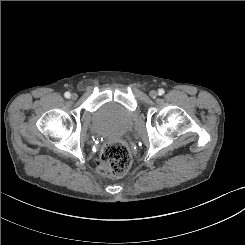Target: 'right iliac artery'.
Wrapping results in <instances>:
<instances>
[{"instance_id": "obj_1", "label": "right iliac artery", "mask_w": 245, "mask_h": 245, "mask_svg": "<svg viewBox=\"0 0 245 245\" xmlns=\"http://www.w3.org/2000/svg\"><path fill=\"white\" fill-rule=\"evenodd\" d=\"M64 96H65L66 98H69V97H70V93H69V92H66V93L64 94Z\"/></svg>"}]
</instances>
